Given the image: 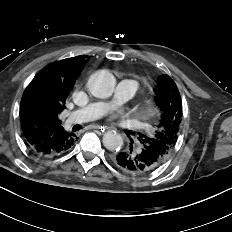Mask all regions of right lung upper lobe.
Instances as JSON below:
<instances>
[{
	"label": "right lung upper lobe",
	"instance_id": "right-lung-upper-lobe-1",
	"mask_svg": "<svg viewBox=\"0 0 232 232\" xmlns=\"http://www.w3.org/2000/svg\"><path fill=\"white\" fill-rule=\"evenodd\" d=\"M85 57L67 58L46 66L24 91L20 117L32 118L41 136L36 138L38 141L49 132L62 129L58 114L65 109V100L83 67Z\"/></svg>",
	"mask_w": 232,
	"mask_h": 232
}]
</instances>
